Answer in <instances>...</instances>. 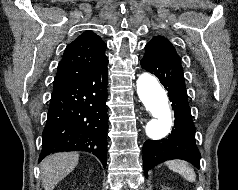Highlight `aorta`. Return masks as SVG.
Segmentation results:
<instances>
[{
    "mask_svg": "<svg viewBox=\"0 0 238 190\" xmlns=\"http://www.w3.org/2000/svg\"><path fill=\"white\" fill-rule=\"evenodd\" d=\"M137 94L151 115L146 124L147 136L151 140H161L172 126V113L164 88L153 75L143 73L137 80Z\"/></svg>",
    "mask_w": 238,
    "mask_h": 190,
    "instance_id": "762f6f07",
    "label": "aorta"
}]
</instances>
